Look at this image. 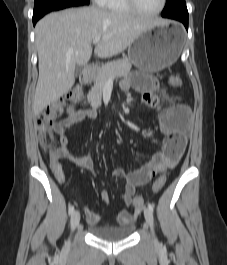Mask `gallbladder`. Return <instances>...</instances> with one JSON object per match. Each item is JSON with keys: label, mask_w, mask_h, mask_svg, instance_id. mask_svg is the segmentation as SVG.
<instances>
[{"label": "gallbladder", "mask_w": 227, "mask_h": 265, "mask_svg": "<svg viewBox=\"0 0 227 265\" xmlns=\"http://www.w3.org/2000/svg\"><path fill=\"white\" fill-rule=\"evenodd\" d=\"M83 71V66L77 65L75 68V76L78 77Z\"/></svg>", "instance_id": "obj_1"}]
</instances>
